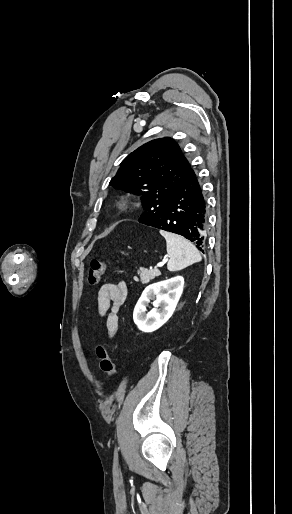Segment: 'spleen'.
Returning <instances> with one entry per match:
<instances>
[{"mask_svg":"<svg viewBox=\"0 0 292 514\" xmlns=\"http://www.w3.org/2000/svg\"><path fill=\"white\" fill-rule=\"evenodd\" d=\"M161 236L166 240L167 254H169V262L167 268L169 272H178L183 270L195 262H201L202 258L195 246L177 234L164 232L160 230Z\"/></svg>","mask_w":292,"mask_h":514,"instance_id":"1","label":"spleen"}]
</instances>
